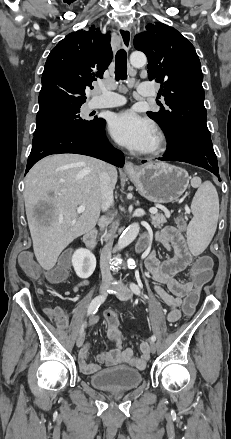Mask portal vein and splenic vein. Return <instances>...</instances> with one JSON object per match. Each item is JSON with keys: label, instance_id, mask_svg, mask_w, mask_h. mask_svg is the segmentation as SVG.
I'll return each instance as SVG.
<instances>
[{"label": "portal vein and splenic vein", "instance_id": "obj_1", "mask_svg": "<svg viewBox=\"0 0 231 439\" xmlns=\"http://www.w3.org/2000/svg\"><path fill=\"white\" fill-rule=\"evenodd\" d=\"M84 211H85V206H84V205H80V206L77 208V212H78V213H82V212H84ZM149 212H150L151 214H157L158 210H157V208H150V209H149Z\"/></svg>", "mask_w": 231, "mask_h": 439}]
</instances>
